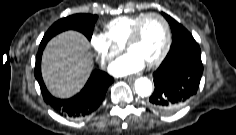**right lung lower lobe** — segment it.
Returning a JSON list of instances; mask_svg holds the SVG:
<instances>
[{"mask_svg":"<svg viewBox=\"0 0 236 135\" xmlns=\"http://www.w3.org/2000/svg\"><path fill=\"white\" fill-rule=\"evenodd\" d=\"M45 45L39 46L34 71L44 101L59 114L71 118L86 117L96 111L114 81L113 77L104 71L94 70L80 93L70 99H57L48 92L41 75V57Z\"/></svg>","mask_w":236,"mask_h":135,"instance_id":"1","label":"right lung lower lobe"}]
</instances>
